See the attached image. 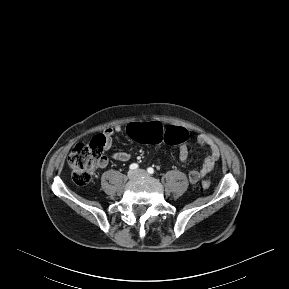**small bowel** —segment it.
Masks as SVG:
<instances>
[{
    "label": "small bowel",
    "mask_w": 289,
    "mask_h": 289,
    "mask_svg": "<svg viewBox=\"0 0 289 289\" xmlns=\"http://www.w3.org/2000/svg\"><path fill=\"white\" fill-rule=\"evenodd\" d=\"M121 130L122 127L120 125H116L104 131L102 136L105 138V149L108 150L111 148L114 134L120 132ZM197 140L200 144L206 146L209 152L205 157L202 166L199 169L189 172L188 176L191 183H197L201 178L209 174L214 169L220 156L219 149L212 139L205 135H199ZM112 157L117 161L126 162L130 159V154L125 151H117L112 154ZM179 158L182 161H185L188 158V148L185 144H181L179 147ZM105 164L106 160H103L100 166H104Z\"/></svg>",
    "instance_id": "small-bowel-1"
}]
</instances>
